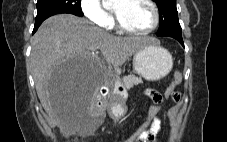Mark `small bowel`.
Returning <instances> with one entry per match:
<instances>
[{"label": "small bowel", "instance_id": "c3829d8e", "mask_svg": "<svg viewBox=\"0 0 227 142\" xmlns=\"http://www.w3.org/2000/svg\"><path fill=\"white\" fill-rule=\"evenodd\" d=\"M147 97H149L155 104H163V97L162 95L154 90V89H147L145 91ZM172 99L178 100L179 94L172 93ZM162 128V122L160 119L156 118L155 121L151 124L149 129L139 138L138 142H157V136Z\"/></svg>", "mask_w": 227, "mask_h": 142}]
</instances>
